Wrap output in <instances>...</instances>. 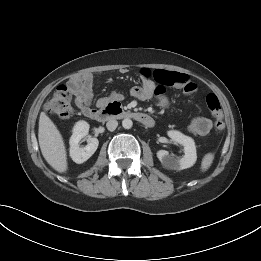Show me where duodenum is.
<instances>
[{"label": "duodenum", "mask_w": 261, "mask_h": 261, "mask_svg": "<svg viewBox=\"0 0 261 261\" xmlns=\"http://www.w3.org/2000/svg\"><path fill=\"white\" fill-rule=\"evenodd\" d=\"M87 117L95 120H104L112 117H119L134 119L146 126H152L154 124L152 118L147 114L126 110L117 101L108 103L98 110H91L90 112H88Z\"/></svg>", "instance_id": "obj_1"}]
</instances>
